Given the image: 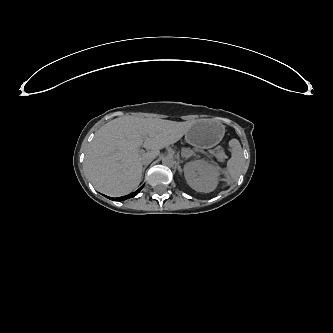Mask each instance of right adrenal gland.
Segmentation results:
<instances>
[{
    "mask_svg": "<svg viewBox=\"0 0 333 333\" xmlns=\"http://www.w3.org/2000/svg\"><path fill=\"white\" fill-rule=\"evenodd\" d=\"M146 168H147V165H145V166L143 167V173H144V171H145Z\"/></svg>",
    "mask_w": 333,
    "mask_h": 333,
    "instance_id": "1",
    "label": "right adrenal gland"
}]
</instances>
